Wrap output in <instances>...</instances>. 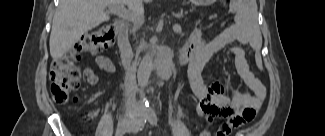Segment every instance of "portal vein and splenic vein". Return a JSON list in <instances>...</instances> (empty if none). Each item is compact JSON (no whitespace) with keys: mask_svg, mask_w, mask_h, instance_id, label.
<instances>
[{"mask_svg":"<svg viewBox=\"0 0 325 136\" xmlns=\"http://www.w3.org/2000/svg\"><path fill=\"white\" fill-rule=\"evenodd\" d=\"M109 12H112L118 17L135 24H141L144 21L143 16L141 14L134 11L126 10L124 6L109 7ZM174 28L180 29L181 27L177 24Z\"/></svg>","mask_w":325,"mask_h":136,"instance_id":"portal-vein-and-splenic-vein-1","label":"portal vein and splenic vein"}]
</instances>
